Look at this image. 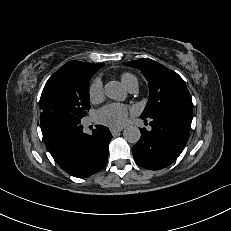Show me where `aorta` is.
I'll use <instances>...</instances> for the list:
<instances>
[{"label": "aorta", "mask_w": 231, "mask_h": 231, "mask_svg": "<svg viewBox=\"0 0 231 231\" xmlns=\"http://www.w3.org/2000/svg\"><path fill=\"white\" fill-rule=\"evenodd\" d=\"M106 96L113 100L123 101L127 93L118 81H110L105 85ZM124 139L129 143H137L141 137V132L136 126H129L123 131Z\"/></svg>", "instance_id": "762f6f07"}]
</instances>
